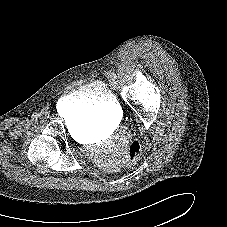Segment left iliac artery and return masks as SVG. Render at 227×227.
I'll return each instance as SVG.
<instances>
[{
	"label": "left iliac artery",
	"instance_id": "44dca946",
	"mask_svg": "<svg viewBox=\"0 0 227 227\" xmlns=\"http://www.w3.org/2000/svg\"><path fill=\"white\" fill-rule=\"evenodd\" d=\"M109 76L112 78V79H116L117 78V75L114 73V72H111L109 74Z\"/></svg>",
	"mask_w": 227,
	"mask_h": 227
}]
</instances>
